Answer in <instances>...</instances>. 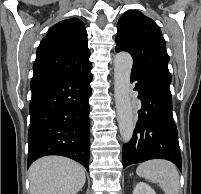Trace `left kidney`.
Wrapping results in <instances>:
<instances>
[{"mask_svg": "<svg viewBox=\"0 0 201 194\" xmlns=\"http://www.w3.org/2000/svg\"><path fill=\"white\" fill-rule=\"evenodd\" d=\"M133 194H156V192L148 184L139 182L134 188Z\"/></svg>", "mask_w": 201, "mask_h": 194, "instance_id": "left-kidney-1", "label": "left kidney"}]
</instances>
